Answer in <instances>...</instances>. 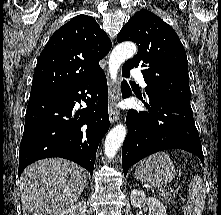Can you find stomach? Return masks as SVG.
<instances>
[{
	"instance_id": "0dacf381",
	"label": "stomach",
	"mask_w": 221,
	"mask_h": 215,
	"mask_svg": "<svg viewBox=\"0 0 221 215\" xmlns=\"http://www.w3.org/2000/svg\"><path fill=\"white\" fill-rule=\"evenodd\" d=\"M176 170L170 157L159 152L143 161L136 167L135 175L140 181L154 187L167 185L175 177Z\"/></svg>"
}]
</instances>
